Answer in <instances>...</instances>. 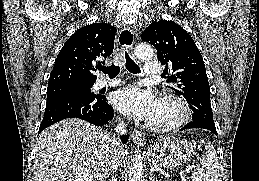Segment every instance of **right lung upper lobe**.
Here are the masks:
<instances>
[{"label":"right lung upper lobe","instance_id":"1","mask_svg":"<svg viewBox=\"0 0 259 181\" xmlns=\"http://www.w3.org/2000/svg\"><path fill=\"white\" fill-rule=\"evenodd\" d=\"M116 29L93 23L77 30L59 52L49 84L94 83L98 65L104 64L114 48Z\"/></svg>","mask_w":259,"mask_h":181}]
</instances>
